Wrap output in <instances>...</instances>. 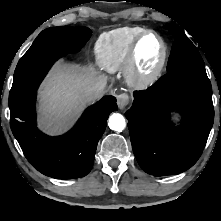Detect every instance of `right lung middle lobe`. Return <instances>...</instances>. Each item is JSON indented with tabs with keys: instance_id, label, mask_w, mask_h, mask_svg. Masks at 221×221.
<instances>
[{
	"instance_id": "obj_1",
	"label": "right lung middle lobe",
	"mask_w": 221,
	"mask_h": 221,
	"mask_svg": "<svg viewBox=\"0 0 221 221\" xmlns=\"http://www.w3.org/2000/svg\"><path fill=\"white\" fill-rule=\"evenodd\" d=\"M91 37L87 27L60 26L43 30L19 60L9 93V107L34 94L52 64L79 51Z\"/></svg>"
}]
</instances>
